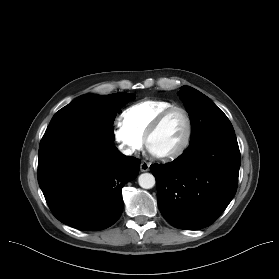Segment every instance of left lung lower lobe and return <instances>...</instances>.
Returning <instances> with one entry per match:
<instances>
[{"label": "left lung lower lobe", "instance_id": "obj_1", "mask_svg": "<svg viewBox=\"0 0 279 279\" xmlns=\"http://www.w3.org/2000/svg\"><path fill=\"white\" fill-rule=\"evenodd\" d=\"M241 163L235 133L199 138L177 159L151 165L163 217L179 229L211 225L233 199Z\"/></svg>", "mask_w": 279, "mask_h": 279}]
</instances>
